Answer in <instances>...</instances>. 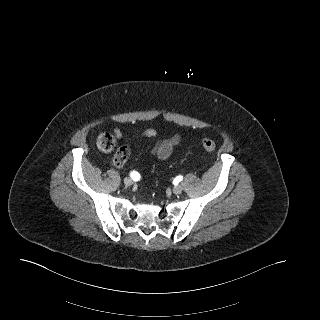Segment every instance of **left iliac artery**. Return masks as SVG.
<instances>
[{
	"mask_svg": "<svg viewBox=\"0 0 320 320\" xmlns=\"http://www.w3.org/2000/svg\"><path fill=\"white\" fill-rule=\"evenodd\" d=\"M182 179H183V176L179 175V176L176 177L175 180H176L177 182H179V181H182Z\"/></svg>",
	"mask_w": 320,
	"mask_h": 320,
	"instance_id": "obj_1",
	"label": "left iliac artery"
}]
</instances>
